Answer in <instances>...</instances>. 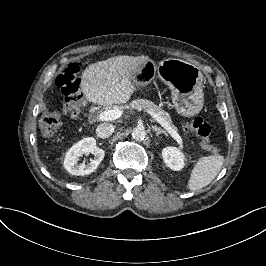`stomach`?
<instances>
[{
	"mask_svg": "<svg viewBox=\"0 0 266 266\" xmlns=\"http://www.w3.org/2000/svg\"><path fill=\"white\" fill-rule=\"evenodd\" d=\"M156 63L148 56H140L128 69L132 84L138 88L147 87L154 81ZM157 74L171 90L173 106L178 114L193 116L204 104L200 69L179 59H165L159 63Z\"/></svg>",
	"mask_w": 266,
	"mask_h": 266,
	"instance_id": "0dacf381",
	"label": "stomach"
}]
</instances>
